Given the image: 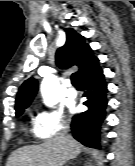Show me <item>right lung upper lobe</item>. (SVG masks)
<instances>
[{
  "label": "right lung upper lobe",
  "mask_w": 135,
  "mask_h": 166,
  "mask_svg": "<svg viewBox=\"0 0 135 166\" xmlns=\"http://www.w3.org/2000/svg\"><path fill=\"white\" fill-rule=\"evenodd\" d=\"M66 42L56 52V63L60 68L77 66L78 76L88 67L93 65L98 58L92 53V49L85 43L84 37L76 33L74 29H65ZM38 90L37 80L30 78L26 80L18 90L15 110L29 106Z\"/></svg>",
  "instance_id": "right-lung-upper-lobe-1"
}]
</instances>
